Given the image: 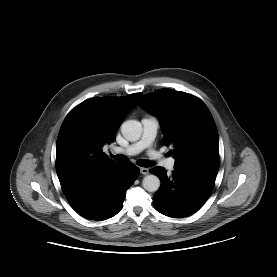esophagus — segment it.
<instances>
[{"label":"esophagus","instance_id":"34e87169","mask_svg":"<svg viewBox=\"0 0 277 277\" xmlns=\"http://www.w3.org/2000/svg\"><path fill=\"white\" fill-rule=\"evenodd\" d=\"M140 172H141L143 175H147V174H149V169H148V168H145V167H141V168H140Z\"/></svg>","mask_w":277,"mask_h":277}]
</instances>
